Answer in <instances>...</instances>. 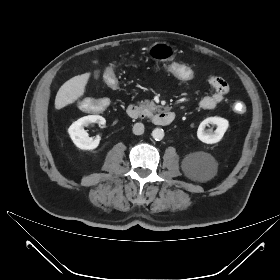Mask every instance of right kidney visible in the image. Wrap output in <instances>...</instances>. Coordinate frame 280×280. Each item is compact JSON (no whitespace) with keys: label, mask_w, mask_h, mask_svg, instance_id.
<instances>
[{"label":"right kidney","mask_w":280,"mask_h":280,"mask_svg":"<svg viewBox=\"0 0 280 280\" xmlns=\"http://www.w3.org/2000/svg\"><path fill=\"white\" fill-rule=\"evenodd\" d=\"M92 123H97L99 125H104L106 123L105 118L99 115H88L84 116L77 121L73 122L68 129V133L73 141V143L80 149L83 150H93L98 147L100 137L92 138L89 137L84 126H88Z\"/></svg>","instance_id":"obj_1"}]
</instances>
